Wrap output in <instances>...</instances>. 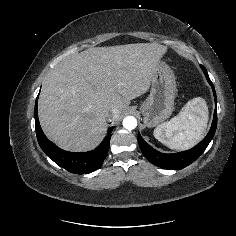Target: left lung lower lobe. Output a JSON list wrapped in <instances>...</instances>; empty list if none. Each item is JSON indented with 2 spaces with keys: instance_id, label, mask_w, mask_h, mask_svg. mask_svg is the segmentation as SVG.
Returning a JSON list of instances; mask_svg holds the SVG:
<instances>
[{
  "instance_id": "1",
  "label": "left lung lower lobe",
  "mask_w": 236,
  "mask_h": 236,
  "mask_svg": "<svg viewBox=\"0 0 236 236\" xmlns=\"http://www.w3.org/2000/svg\"><path fill=\"white\" fill-rule=\"evenodd\" d=\"M201 68L209 82V84L212 87L214 98H215V103L217 102L216 100V93H215V88L213 83L211 82L207 71L205 68L201 65ZM216 126H217V111H214V117H213V122L210 128V131L206 135V137L195 147L179 152V153H173V154H164L161 153L154 148H152L149 144H147L141 135L138 133V141H139V146L140 149L143 153V155L154 165L164 168V169H170V170H179L183 169L186 166L190 165L193 163L207 148L209 145L210 141L212 140L215 131H216Z\"/></svg>"
}]
</instances>
